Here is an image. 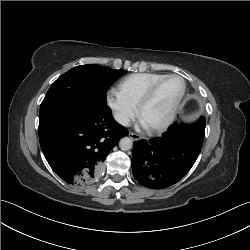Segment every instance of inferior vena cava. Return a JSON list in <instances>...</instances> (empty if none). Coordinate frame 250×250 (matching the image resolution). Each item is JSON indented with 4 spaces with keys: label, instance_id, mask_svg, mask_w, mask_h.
I'll return each mask as SVG.
<instances>
[{
    "label": "inferior vena cava",
    "instance_id": "1",
    "mask_svg": "<svg viewBox=\"0 0 250 250\" xmlns=\"http://www.w3.org/2000/svg\"><path fill=\"white\" fill-rule=\"evenodd\" d=\"M114 118L118 123H120L123 126H128L130 124V118L123 113H118V112L115 113Z\"/></svg>",
    "mask_w": 250,
    "mask_h": 250
}]
</instances>
